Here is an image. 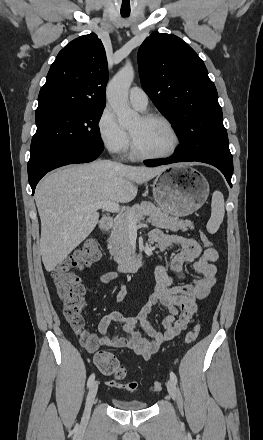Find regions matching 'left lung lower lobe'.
<instances>
[{"label": "left lung lower lobe", "mask_w": 263, "mask_h": 440, "mask_svg": "<svg viewBox=\"0 0 263 440\" xmlns=\"http://www.w3.org/2000/svg\"><path fill=\"white\" fill-rule=\"evenodd\" d=\"M186 161H198L204 162L218 168L225 176L227 182L232 187L231 177L233 174V158L230 152H218L209 154L206 156L198 157V158H187L184 157L177 152L169 159L164 160H148L144 163L147 166L154 167L158 165H165L175 162H186Z\"/></svg>", "instance_id": "left-lung-lower-lobe-1"}]
</instances>
